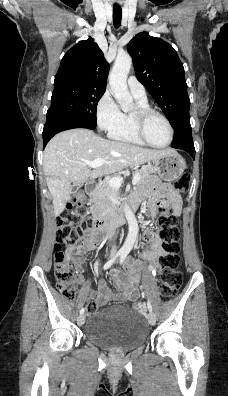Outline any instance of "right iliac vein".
Returning <instances> with one entry per match:
<instances>
[{
  "mask_svg": "<svg viewBox=\"0 0 228 396\" xmlns=\"http://www.w3.org/2000/svg\"><path fill=\"white\" fill-rule=\"evenodd\" d=\"M84 322H85V315L84 314H80L79 316H78V318H77V323H78V325H83L84 324Z\"/></svg>",
  "mask_w": 228,
  "mask_h": 396,
  "instance_id": "obj_1",
  "label": "right iliac vein"
}]
</instances>
